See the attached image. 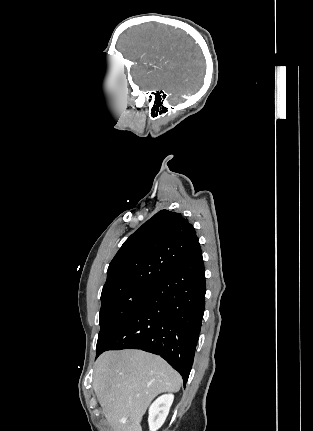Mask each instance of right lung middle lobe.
Wrapping results in <instances>:
<instances>
[{
	"label": "right lung middle lobe",
	"instance_id": "obj_1",
	"mask_svg": "<svg viewBox=\"0 0 313 431\" xmlns=\"http://www.w3.org/2000/svg\"><path fill=\"white\" fill-rule=\"evenodd\" d=\"M155 287L138 288L113 292L101 296L100 332L96 350H99L128 318V316L146 299Z\"/></svg>",
	"mask_w": 313,
	"mask_h": 431
}]
</instances>
